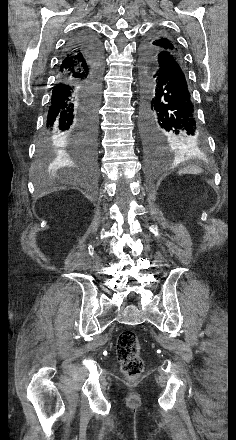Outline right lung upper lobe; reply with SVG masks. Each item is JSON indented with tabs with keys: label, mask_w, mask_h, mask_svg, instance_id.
<instances>
[{
	"label": "right lung upper lobe",
	"mask_w": 236,
	"mask_h": 440,
	"mask_svg": "<svg viewBox=\"0 0 236 440\" xmlns=\"http://www.w3.org/2000/svg\"><path fill=\"white\" fill-rule=\"evenodd\" d=\"M58 72V81L73 79L76 81H86L89 77L88 65L84 56L78 48L65 52Z\"/></svg>",
	"instance_id": "right-lung-upper-lobe-1"
}]
</instances>
